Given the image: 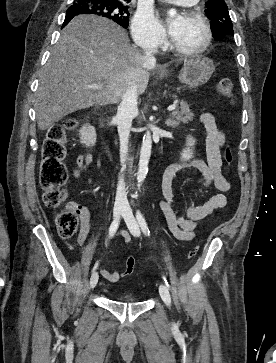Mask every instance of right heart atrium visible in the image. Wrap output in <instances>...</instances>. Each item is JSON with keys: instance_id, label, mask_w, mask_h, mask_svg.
<instances>
[{"instance_id": "right-heart-atrium-1", "label": "right heart atrium", "mask_w": 276, "mask_h": 363, "mask_svg": "<svg viewBox=\"0 0 276 363\" xmlns=\"http://www.w3.org/2000/svg\"><path fill=\"white\" fill-rule=\"evenodd\" d=\"M132 33L137 44L156 49L165 41V32L154 13L147 8L140 9L132 22Z\"/></svg>"}]
</instances>
